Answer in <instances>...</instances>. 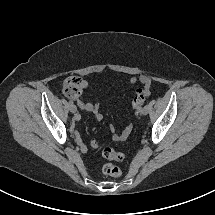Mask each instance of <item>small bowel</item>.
<instances>
[{
  "mask_svg": "<svg viewBox=\"0 0 215 215\" xmlns=\"http://www.w3.org/2000/svg\"><path fill=\"white\" fill-rule=\"evenodd\" d=\"M130 82L135 84V83H141L144 86L149 87L151 84V80L147 75H141L138 78H131ZM88 86L86 81H83V89H86ZM77 105L79 106L80 109L83 111L90 113L93 115V117L96 120H101L103 117L101 107L99 104H95L92 102H84L81 99H76ZM75 122H78L80 120V116L76 115L74 118ZM132 131V126L129 124L127 125L121 133H116L114 128H111V133H112V138L114 141H122L125 140L131 133ZM85 147H83V151H85Z\"/></svg>",
  "mask_w": 215,
  "mask_h": 215,
  "instance_id": "1",
  "label": "small bowel"
}]
</instances>
